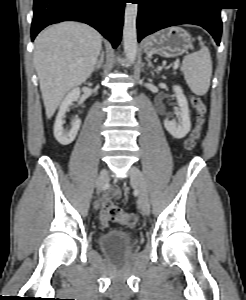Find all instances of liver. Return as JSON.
<instances>
[{
	"label": "liver",
	"instance_id": "liver-1",
	"mask_svg": "<svg viewBox=\"0 0 246 300\" xmlns=\"http://www.w3.org/2000/svg\"><path fill=\"white\" fill-rule=\"evenodd\" d=\"M101 48L95 29L73 21L52 25L36 37L34 65L48 119L66 93L90 77Z\"/></svg>",
	"mask_w": 246,
	"mask_h": 300
}]
</instances>
